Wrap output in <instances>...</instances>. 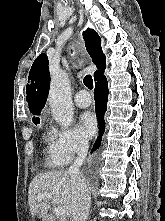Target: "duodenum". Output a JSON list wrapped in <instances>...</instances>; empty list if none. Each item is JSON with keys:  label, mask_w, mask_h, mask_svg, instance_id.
<instances>
[{"label": "duodenum", "mask_w": 165, "mask_h": 221, "mask_svg": "<svg viewBox=\"0 0 165 221\" xmlns=\"http://www.w3.org/2000/svg\"><path fill=\"white\" fill-rule=\"evenodd\" d=\"M44 221H52V220H51V218L46 217V218L44 219Z\"/></svg>", "instance_id": "obj_1"}]
</instances>
